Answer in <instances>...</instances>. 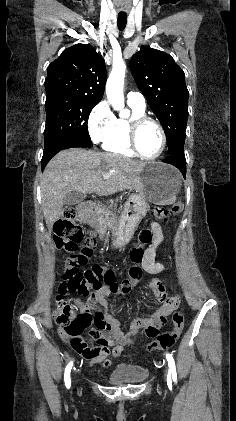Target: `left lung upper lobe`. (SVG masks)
Wrapping results in <instances>:
<instances>
[{"label": "left lung upper lobe", "instance_id": "1", "mask_svg": "<svg viewBox=\"0 0 236 421\" xmlns=\"http://www.w3.org/2000/svg\"><path fill=\"white\" fill-rule=\"evenodd\" d=\"M130 69L164 129L168 155L183 152L189 96L183 70L169 54L149 47L130 59Z\"/></svg>", "mask_w": 236, "mask_h": 421}]
</instances>
